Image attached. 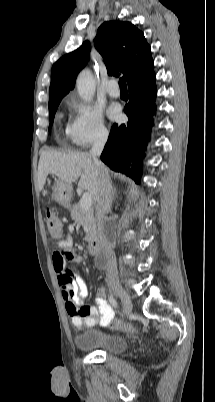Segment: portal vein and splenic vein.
I'll use <instances>...</instances> for the list:
<instances>
[{"label":"portal vein and splenic vein","mask_w":215,"mask_h":402,"mask_svg":"<svg viewBox=\"0 0 215 402\" xmlns=\"http://www.w3.org/2000/svg\"><path fill=\"white\" fill-rule=\"evenodd\" d=\"M91 205H92V197L89 193L86 192L82 195V198L80 200V206L83 210H88L90 209Z\"/></svg>","instance_id":"18ae733b"}]
</instances>
